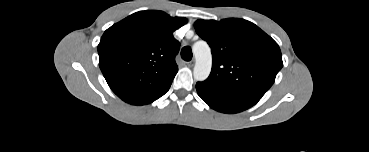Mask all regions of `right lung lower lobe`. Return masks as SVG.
Masks as SVG:
<instances>
[{
  "label": "right lung lower lobe",
  "mask_w": 369,
  "mask_h": 152,
  "mask_svg": "<svg viewBox=\"0 0 369 152\" xmlns=\"http://www.w3.org/2000/svg\"><path fill=\"white\" fill-rule=\"evenodd\" d=\"M168 90H169V89H168ZM168 90H167V91H168ZM167 91H166V92H167ZM166 92H165V93H166ZM165 93H163L162 95H164ZM162 95H161V96H162ZM161 96H159V97H161ZM159 97H158V98H159ZM158 98H156V99H158ZM156 99H153V100H151V101H149V102H147V103H145V104H149V103H151V102L155 101ZM142 105H143V104H142Z\"/></svg>",
  "instance_id": "1"
}]
</instances>
